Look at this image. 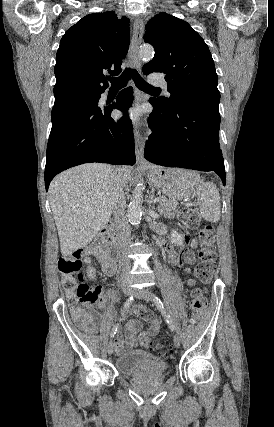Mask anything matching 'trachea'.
Returning a JSON list of instances; mask_svg holds the SVG:
<instances>
[{"label": "trachea", "mask_w": 274, "mask_h": 427, "mask_svg": "<svg viewBox=\"0 0 274 427\" xmlns=\"http://www.w3.org/2000/svg\"><path fill=\"white\" fill-rule=\"evenodd\" d=\"M131 77L133 78L136 87L142 90L143 92H148L150 90H161L157 87L149 85V83H147L144 78L139 75L137 70H133L132 68H126V70H124L120 77L111 78V88H124Z\"/></svg>", "instance_id": "3493384b"}]
</instances>
